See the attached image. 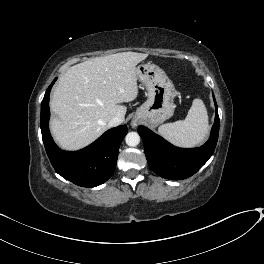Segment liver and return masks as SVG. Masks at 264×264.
Listing matches in <instances>:
<instances>
[{
    "instance_id": "obj_1",
    "label": "liver",
    "mask_w": 264,
    "mask_h": 264,
    "mask_svg": "<svg viewBox=\"0 0 264 264\" xmlns=\"http://www.w3.org/2000/svg\"><path fill=\"white\" fill-rule=\"evenodd\" d=\"M147 56L122 52L70 67L50 100L57 116L50 121L55 142L63 149L78 150L108 130L113 117L124 121L127 108L122 103L137 97L136 66Z\"/></svg>"
}]
</instances>
